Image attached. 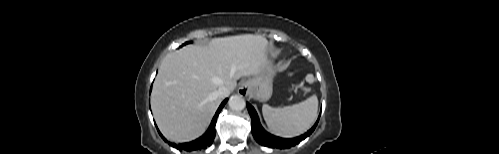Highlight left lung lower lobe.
I'll use <instances>...</instances> for the list:
<instances>
[{"mask_svg":"<svg viewBox=\"0 0 499 154\" xmlns=\"http://www.w3.org/2000/svg\"><path fill=\"white\" fill-rule=\"evenodd\" d=\"M247 108H248V112L251 116V129H252V134H253L255 140L259 144H261L263 146L271 147V148L275 147V148H280V149H286V148H290V147L300 143L302 140H304L306 137H308L314 131V129L316 128V126L318 124L319 118H320V115H319L318 120L316 121L314 126L310 130H308L305 134H303L299 137H296V138L286 139V138H280V137L271 135L268 132H266L260 124V121H259V118H258V115H257L255 109L249 103H247Z\"/></svg>","mask_w":499,"mask_h":154,"instance_id":"1","label":"left lung lower lobe"}]
</instances>
